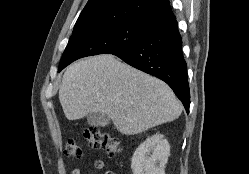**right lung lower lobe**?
I'll return each instance as SVG.
<instances>
[{
  "mask_svg": "<svg viewBox=\"0 0 249 174\" xmlns=\"http://www.w3.org/2000/svg\"><path fill=\"white\" fill-rule=\"evenodd\" d=\"M113 55L166 82L189 112L187 66L174 15L147 23L143 36L135 44Z\"/></svg>",
  "mask_w": 249,
  "mask_h": 174,
  "instance_id": "right-lung-lower-lobe-1",
  "label": "right lung lower lobe"
}]
</instances>
